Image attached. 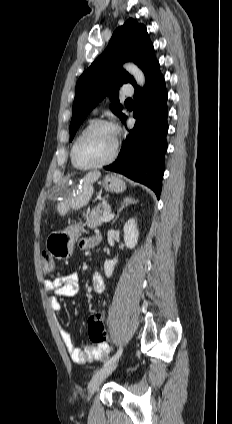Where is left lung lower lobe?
I'll list each match as a JSON object with an SVG mask.
<instances>
[{"label":"left lung lower lobe","mask_w":232,"mask_h":424,"mask_svg":"<svg viewBox=\"0 0 232 424\" xmlns=\"http://www.w3.org/2000/svg\"><path fill=\"white\" fill-rule=\"evenodd\" d=\"M167 91L159 63L134 95L135 126L122 144L119 157L105 169L127 176L151 188L160 198L168 131ZM126 116L122 118L124 122Z\"/></svg>","instance_id":"obj_1"}]
</instances>
